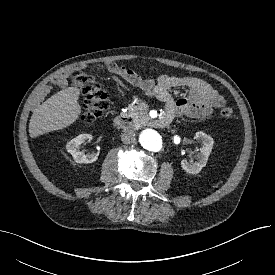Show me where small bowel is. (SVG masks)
Here are the masks:
<instances>
[{
    "instance_id": "small-bowel-1",
    "label": "small bowel",
    "mask_w": 275,
    "mask_h": 275,
    "mask_svg": "<svg viewBox=\"0 0 275 275\" xmlns=\"http://www.w3.org/2000/svg\"><path fill=\"white\" fill-rule=\"evenodd\" d=\"M98 65L96 68H102ZM130 84L141 88L148 96L166 104V115L175 118L187 115L201 118L210 115L214 109L224 106L225 99L210 84L196 77H178L161 75L156 80L149 77L141 78L130 69L121 67L116 70ZM68 72L58 76L54 83L59 87L66 85ZM183 87L187 90L185 97L175 100L170 93L172 88Z\"/></svg>"
}]
</instances>
